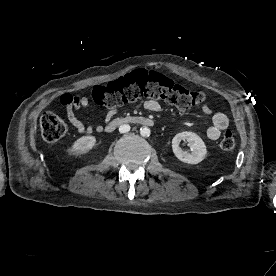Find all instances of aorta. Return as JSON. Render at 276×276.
I'll list each match as a JSON object with an SVG mask.
<instances>
[{"instance_id": "obj_1", "label": "aorta", "mask_w": 276, "mask_h": 276, "mask_svg": "<svg viewBox=\"0 0 276 276\" xmlns=\"http://www.w3.org/2000/svg\"><path fill=\"white\" fill-rule=\"evenodd\" d=\"M150 133H151V131H150V129H149L148 127H142V128L140 129V134H141V136H143V137H148V136H150Z\"/></svg>"}]
</instances>
